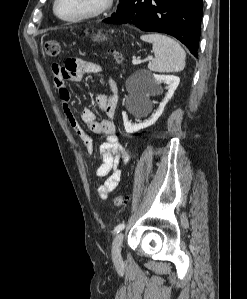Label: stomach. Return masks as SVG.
Returning <instances> with one entry per match:
<instances>
[{
	"label": "stomach",
	"mask_w": 247,
	"mask_h": 299,
	"mask_svg": "<svg viewBox=\"0 0 247 299\" xmlns=\"http://www.w3.org/2000/svg\"><path fill=\"white\" fill-rule=\"evenodd\" d=\"M93 38H94V41H96V42H103L108 39L107 35L102 34V33L95 34L93 36Z\"/></svg>",
	"instance_id": "stomach-1"
}]
</instances>
